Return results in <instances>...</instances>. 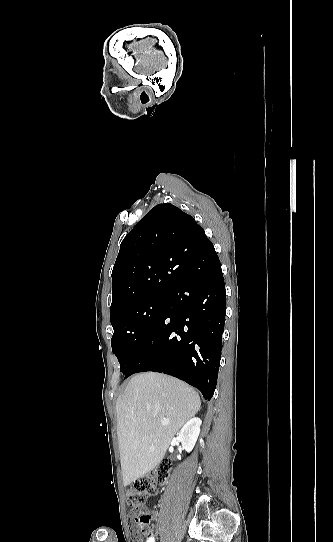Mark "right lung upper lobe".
I'll return each instance as SVG.
<instances>
[{
  "label": "right lung upper lobe",
  "instance_id": "obj_1",
  "mask_svg": "<svg viewBox=\"0 0 333 542\" xmlns=\"http://www.w3.org/2000/svg\"><path fill=\"white\" fill-rule=\"evenodd\" d=\"M206 243L211 242L192 216L170 203L152 208L120 245L112 271L111 317L168 294L184 277L174 255Z\"/></svg>",
  "mask_w": 333,
  "mask_h": 542
}]
</instances>
